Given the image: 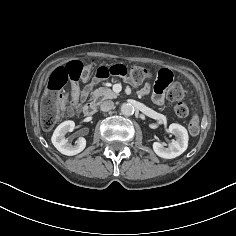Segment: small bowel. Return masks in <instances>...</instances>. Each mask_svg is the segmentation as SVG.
<instances>
[{
  "label": "small bowel",
  "mask_w": 236,
  "mask_h": 236,
  "mask_svg": "<svg viewBox=\"0 0 236 236\" xmlns=\"http://www.w3.org/2000/svg\"><path fill=\"white\" fill-rule=\"evenodd\" d=\"M93 85H94L93 82H89L81 90L77 86L73 87L72 97L76 98L78 100H81V101L85 100L86 97L88 96V94L90 93ZM147 92H148V88L144 87L143 90H142V93H147ZM153 100L158 105L163 104L164 94L154 91Z\"/></svg>",
  "instance_id": "c3829d8e"
}]
</instances>
